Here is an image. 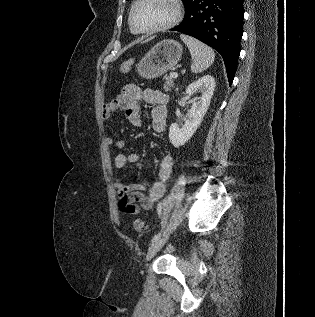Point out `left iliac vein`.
I'll list each match as a JSON object with an SVG mask.
<instances>
[{"mask_svg": "<svg viewBox=\"0 0 315 317\" xmlns=\"http://www.w3.org/2000/svg\"><path fill=\"white\" fill-rule=\"evenodd\" d=\"M168 238H169V235H165L164 237L154 241L149 246L147 255H146L147 261H149L162 248V246L167 242Z\"/></svg>", "mask_w": 315, "mask_h": 317, "instance_id": "obj_1", "label": "left iliac vein"}]
</instances>
